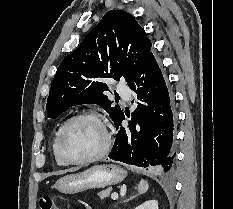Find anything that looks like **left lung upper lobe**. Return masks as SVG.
<instances>
[{"label": "left lung upper lobe", "mask_w": 233, "mask_h": 209, "mask_svg": "<svg viewBox=\"0 0 233 209\" xmlns=\"http://www.w3.org/2000/svg\"><path fill=\"white\" fill-rule=\"evenodd\" d=\"M151 42L135 18L122 10L108 11L79 47L59 65L47 100V116L55 119L69 107L98 104L113 122L123 113L105 95L104 79L127 84L147 56Z\"/></svg>", "instance_id": "obj_1"}]
</instances>
